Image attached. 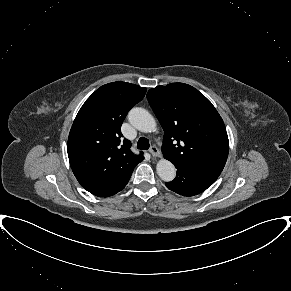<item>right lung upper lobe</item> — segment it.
Returning a JSON list of instances; mask_svg holds the SVG:
<instances>
[{"label": "right lung upper lobe", "instance_id": "right-lung-upper-lobe-1", "mask_svg": "<svg viewBox=\"0 0 291 291\" xmlns=\"http://www.w3.org/2000/svg\"><path fill=\"white\" fill-rule=\"evenodd\" d=\"M146 88L126 82L101 86L79 110L68 137V157L78 182L90 193L109 197L128 183L144 157L122 140L121 125Z\"/></svg>", "mask_w": 291, "mask_h": 291}]
</instances>
